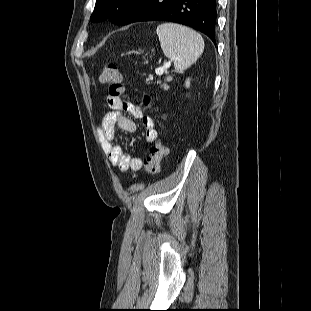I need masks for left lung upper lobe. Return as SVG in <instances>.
I'll return each instance as SVG.
<instances>
[{"label":"left lung upper lobe","instance_id":"5c2ea615","mask_svg":"<svg viewBox=\"0 0 311 311\" xmlns=\"http://www.w3.org/2000/svg\"><path fill=\"white\" fill-rule=\"evenodd\" d=\"M137 0H96V5L90 20L93 22L109 19L119 24L125 13Z\"/></svg>","mask_w":311,"mask_h":311}]
</instances>
